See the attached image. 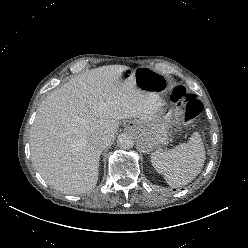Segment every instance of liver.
<instances>
[{
  "mask_svg": "<svg viewBox=\"0 0 248 248\" xmlns=\"http://www.w3.org/2000/svg\"><path fill=\"white\" fill-rule=\"evenodd\" d=\"M125 70L132 69L108 65L86 71L40 104L30 133L31 159L54 189L92 191L104 149L94 139L106 133L112 141L120 120L147 121L160 110L159 96L138 89L132 76L123 79Z\"/></svg>",
  "mask_w": 248,
  "mask_h": 248,
  "instance_id": "obj_1",
  "label": "liver"
}]
</instances>
